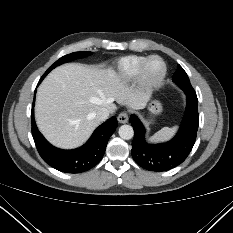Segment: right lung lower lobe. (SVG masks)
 I'll return each mask as SVG.
<instances>
[{
  "instance_id": "98d812e1",
  "label": "right lung lower lobe",
  "mask_w": 233,
  "mask_h": 233,
  "mask_svg": "<svg viewBox=\"0 0 233 233\" xmlns=\"http://www.w3.org/2000/svg\"><path fill=\"white\" fill-rule=\"evenodd\" d=\"M31 122L32 136L42 159L51 167L66 173H80L96 166L105 153L110 136L118 126L117 119L113 116L94 131L85 145L74 150H62L52 146L37 129L34 120V101Z\"/></svg>"
}]
</instances>
